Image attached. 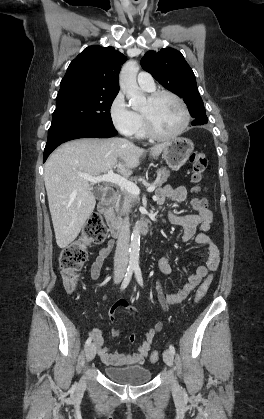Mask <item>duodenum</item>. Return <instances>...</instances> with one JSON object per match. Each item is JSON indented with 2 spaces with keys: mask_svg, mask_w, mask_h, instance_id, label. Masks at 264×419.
Segmentation results:
<instances>
[{
  "mask_svg": "<svg viewBox=\"0 0 264 419\" xmlns=\"http://www.w3.org/2000/svg\"><path fill=\"white\" fill-rule=\"evenodd\" d=\"M117 199V193L112 192L104 197L99 205L98 212L105 218L109 233L114 238H119L123 231L122 222L117 219L113 214V205ZM152 226V221L145 219L140 220L136 223L135 228L141 233L146 234L150 231Z\"/></svg>",
  "mask_w": 264,
  "mask_h": 419,
  "instance_id": "obj_1",
  "label": "duodenum"
}]
</instances>
